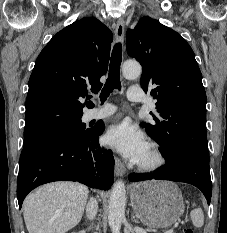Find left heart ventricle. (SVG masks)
I'll list each match as a JSON object with an SVG mask.
<instances>
[{
  "instance_id": "1",
  "label": "left heart ventricle",
  "mask_w": 227,
  "mask_h": 233,
  "mask_svg": "<svg viewBox=\"0 0 227 233\" xmlns=\"http://www.w3.org/2000/svg\"><path fill=\"white\" fill-rule=\"evenodd\" d=\"M152 159V155L150 150L147 148L146 152L144 153V155L141 157V159L139 160V162H149Z\"/></svg>"
}]
</instances>
